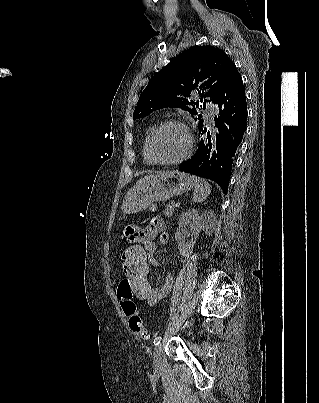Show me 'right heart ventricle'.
<instances>
[{"mask_svg":"<svg viewBox=\"0 0 319 403\" xmlns=\"http://www.w3.org/2000/svg\"><path fill=\"white\" fill-rule=\"evenodd\" d=\"M153 128H154V127H150V128L147 130L146 136H145V139H144L143 145H142V156H143V160H144V162H145L146 164H148V165H151V164H153V163L148 159L147 154H146V141H147V138H148V136H149V134H150V132H151V130H152Z\"/></svg>","mask_w":319,"mask_h":403,"instance_id":"right-heart-ventricle-1","label":"right heart ventricle"}]
</instances>
